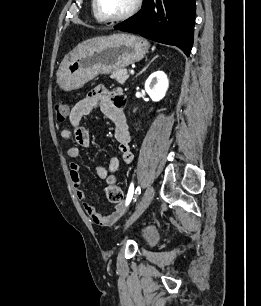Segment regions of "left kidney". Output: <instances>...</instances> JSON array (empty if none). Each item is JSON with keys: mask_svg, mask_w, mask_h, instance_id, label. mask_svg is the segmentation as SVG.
Segmentation results:
<instances>
[{"mask_svg": "<svg viewBox=\"0 0 261 306\" xmlns=\"http://www.w3.org/2000/svg\"><path fill=\"white\" fill-rule=\"evenodd\" d=\"M168 87L169 81L163 71L152 73L145 83V91L154 102H158L164 98Z\"/></svg>", "mask_w": 261, "mask_h": 306, "instance_id": "left-kidney-1", "label": "left kidney"}]
</instances>
